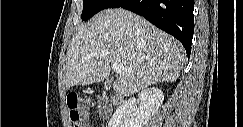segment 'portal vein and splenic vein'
Wrapping results in <instances>:
<instances>
[{
  "instance_id": "18ae733b",
  "label": "portal vein and splenic vein",
  "mask_w": 243,
  "mask_h": 127,
  "mask_svg": "<svg viewBox=\"0 0 243 127\" xmlns=\"http://www.w3.org/2000/svg\"><path fill=\"white\" fill-rule=\"evenodd\" d=\"M112 68H113V70L116 71L117 73H120L121 71L125 70L123 64L118 63V62H114V63L112 64Z\"/></svg>"
}]
</instances>
